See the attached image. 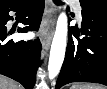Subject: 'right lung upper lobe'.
<instances>
[{
	"instance_id": "cb5924a9",
	"label": "right lung upper lobe",
	"mask_w": 107,
	"mask_h": 89,
	"mask_svg": "<svg viewBox=\"0 0 107 89\" xmlns=\"http://www.w3.org/2000/svg\"><path fill=\"white\" fill-rule=\"evenodd\" d=\"M12 1H17V0H0V7L7 5L8 3Z\"/></svg>"
}]
</instances>
